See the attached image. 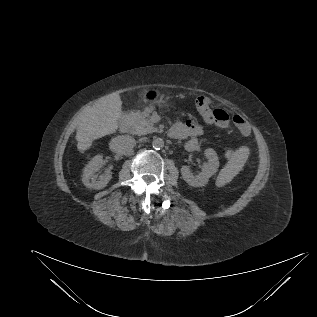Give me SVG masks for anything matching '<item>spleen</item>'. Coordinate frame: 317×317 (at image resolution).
Instances as JSON below:
<instances>
[{
    "mask_svg": "<svg viewBox=\"0 0 317 317\" xmlns=\"http://www.w3.org/2000/svg\"><path fill=\"white\" fill-rule=\"evenodd\" d=\"M248 154L249 151L246 147H242L235 152L225 167L220 171L216 180L217 187H222L229 183L239 171H241L248 158Z\"/></svg>",
    "mask_w": 317,
    "mask_h": 317,
    "instance_id": "3e777b00",
    "label": "spleen"
}]
</instances>
